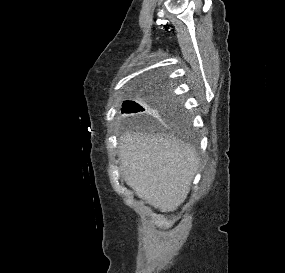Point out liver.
I'll return each instance as SVG.
<instances>
[{
	"mask_svg": "<svg viewBox=\"0 0 285 273\" xmlns=\"http://www.w3.org/2000/svg\"><path fill=\"white\" fill-rule=\"evenodd\" d=\"M118 157L126 184L161 212H173L185 201L198 168L194 150L158 134L122 135Z\"/></svg>",
	"mask_w": 285,
	"mask_h": 273,
	"instance_id": "obj_1",
	"label": "liver"
}]
</instances>
